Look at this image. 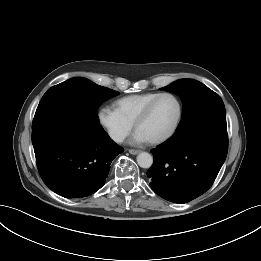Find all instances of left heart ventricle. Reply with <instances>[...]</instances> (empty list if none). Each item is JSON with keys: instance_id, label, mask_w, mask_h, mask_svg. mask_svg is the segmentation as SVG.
Listing matches in <instances>:
<instances>
[{"instance_id": "b2bd125f", "label": "left heart ventricle", "mask_w": 261, "mask_h": 261, "mask_svg": "<svg viewBox=\"0 0 261 261\" xmlns=\"http://www.w3.org/2000/svg\"><path fill=\"white\" fill-rule=\"evenodd\" d=\"M177 104L170 97L161 98L153 107L149 116L138 126L148 140L158 138L165 134L173 125L177 116Z\"/></svg>"}]
</instances>
